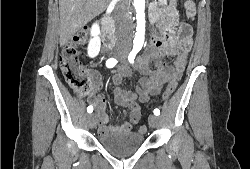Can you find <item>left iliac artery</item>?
Returning a JSON list of instances; mask_svg holds the SVG:
<instances>
[{
    "mask_svg": "<svg viewBox=\"0 0 250 169\" xmlns=\"http://www.w3.org/2000/svg\"><path fill=\"white\" fill-rule=\"evenodd\" d=\"M138 51L139 50H134V51H132V52H130V54H129V56H128V60H129V62L130 63H134V59H135V56H136V54L138 53ZM154 114L156 115V116H158V115H160V110L159 109H154Z\"/></svg>",
    "mask_w": 250,
    "mask_h": 169,
    "instance_id": "1",
    "label": "left iliac artery"
}]
</instances>
